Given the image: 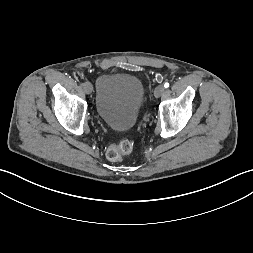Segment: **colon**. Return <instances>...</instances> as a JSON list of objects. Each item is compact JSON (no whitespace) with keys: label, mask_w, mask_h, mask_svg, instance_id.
Returning a JSON list of instances; mask_svg holds the SVG:
<instances>
[{"label":"colon","mask_w":253,"mask_h":253,"mask_svg":"<svg viewBox=\"0 0 253 253\" xmlns=\"http://www.w3.org/2000/svg\"><path fill=\"white\" fill-rule=\"evenodd\" d=\"M133 143L130 140H122L117 144L111 145L106 152V157L111 162H119L133 150Z\"/></svg>","instance_id":"5ec220e1"}]
</instances>
